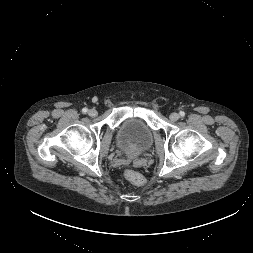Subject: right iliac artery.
Returning <instances> with one entry per match:
<instances>
[{
	"instance_id": "right-iliac-artery-1",
	"label": "right iliac artery",
	"mask_w": 253,
	"mask_h": 253,
	"mask_svg": "<svg viewBox=\"0 0 253 253\" xmlns=\"http://www.w3.org/2000/svg\"><path fill=\"white\" fill-rule=\"evenodd\" d=\"M87 111H88L87 108H83V109H82V112H83V113H87Z\"/></svg>"
}]
</instances>
